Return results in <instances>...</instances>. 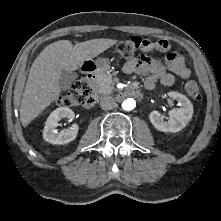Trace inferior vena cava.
<instances>
[{"label": "inferior vena cava", "mask_w": 221, "mask_h": 221, "mask_svg": "<svg viewBox=\"0 0 221 221\" xmlns=\"http://www.w3.org/2000/svg\"><path fill=\"white\" fill-rule=\"evenodd\" d=\"M100 106L103 110H111L117 106V103L113 97L104 96L101 97Z\"/></svg>", "instance_id": "1"}]
</instances>
